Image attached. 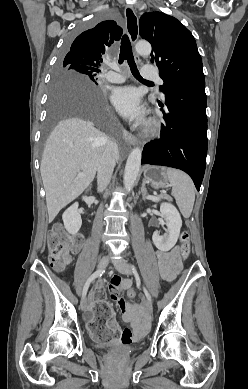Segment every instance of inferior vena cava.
Masks as SVG:
<instances>
[{"label": "inferior vena cava", "mask_w": 248, "mask_h": 389, "mask_svg": "<svg viewBox=\"0 0 248 389\" xmlns=\"http://www.w3.org/2000/svg\"><path fill=\"white\" fill-rule=\"evenodd\" d=\"M118 154L116 143L108 141L97 168V190L99 192L105 190L110 183Z\"/></svg>", "instance_id": "1"}]
</instances>
